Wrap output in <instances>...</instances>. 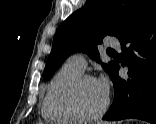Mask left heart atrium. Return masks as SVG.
<instances>
[{
  "label": "left heart atrium",
  "instance_id": "39dd6f15",
  "mask_svg": "<svg viewBox=\"0 0 156 124\" xmlns=\"http://www.w3.org/2000/svg\"><path fill=\"white\" fill-rule=\"evenodd\" d=\"M98 86L100 87V89L102 90V92L107 95L108 91H109V84H108V80L106 79V77H101L100 79L96 80Z\"/></svg>",
  "mask_w": 156,
  "mask_h": 124
}]
</instances>
